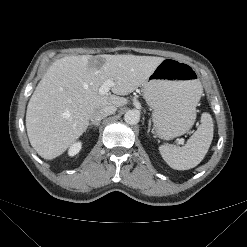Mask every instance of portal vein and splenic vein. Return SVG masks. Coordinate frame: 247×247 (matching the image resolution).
I'll list each match as a JSON object with an SVG mask.
<instances>
[{"label":"portal vein and splenic vein","mask_w":247,"mask_h":247,"mask_svg":"<svg viewBox=\"0 0 247 247\" xmlns=\"http://www.w3.org/2000/svg\"><path fill=\"white\" fill-rule=\"evenodd\" d=\"M114 82L112 80H106L102 85L101 87L99 88V93L100 94H107L111 87L114 86ZM184 141L180 140L179 141V144H183Z\"/></svg>","instance_id":"18ae733b"}]
</instances>
